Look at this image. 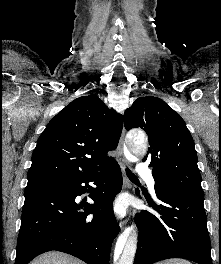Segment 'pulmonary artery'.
I'll return each mask as SVG.
<instances>
[{
  "mask_svg": "<svg viewBox=\"0 0 221 264\" xmlns=\"http://www.w3.org/2000/svg\"><path fill=\"white\" fill-rule=\"evenodd\" d=\"M139 174L147 180L150 191L152 192V194H155V180L150 172V170L145 167V166H141L138 170Z\"/></svg>",
  "mask_w": 221,
  "mask_h": 264,
  "instance_id": "pulmonary-artery-1",
  "label": "pulmonary artery"
}]
</instances>
